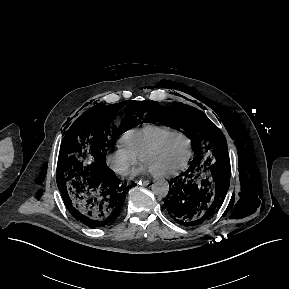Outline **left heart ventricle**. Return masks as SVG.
Here are the masks:
<instances>
[{
  "label": "left heart ventricle",
  "instance_id": "1",
  "mask_svg": "<svg viewBox=\"0 0 289 289\" xmlns=\"http://www.w3.org/2000/svg\"><path fill=\"white\" fill-rule=\"evenodd\" d=\"M187 154V141L177 136L167 140L155 153L148 156L144 164L154 173L170 172L183 164Z\"/></svg>",
  "mask_w": 289,
  "mask_h": 289
}]
</instances>
